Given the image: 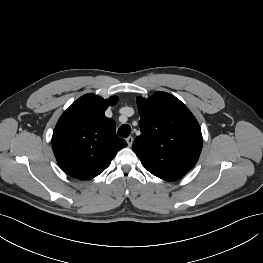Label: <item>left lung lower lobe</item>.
<instances>
[{"label":"left lung lower lobe","instance_id":"obj_1","mask_svg":"<svg viewBox=\"0 0 263 263\" xmlns=\"http://www.w3.org/2000/svg\"><path fill=\"white\" fill-rule=\"evenodd\" d=\"M184 175L177 173L175 171H167V173H165L163 176H161V179L167 180V181H174L177 179H180L181 177H183Z\"/></svg>","mask_w":263,"mask_h":263}]
</instances>
